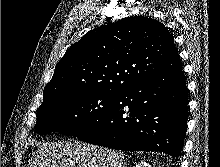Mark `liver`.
<instances>
[{"mask_svg": "<svg viewBox=\"0 0 220 167\" xmlns=\"http://www.w3.org/2000/svg\"><path fill=\"white\" fill-rule=\"evenodd\" d=\"M27 167H126L119 151L83 142L40 143Z\"/></svg>", "mask_w": 220, "mask_h": 167, "instance_id": "liver-1", "label": "liver"}]
</instances>
